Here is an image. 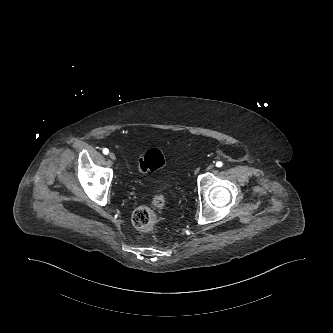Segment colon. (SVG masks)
I'll list each match as a JSON object with an SVG mask.
<instances>
[{
	"label": "colon",
	"instance_id": "1",
	"mask_svg": "<svg viewBox=\"0 0 333 333\" xmlns=\"http://www.w3.org/2000/svg\"><path fill=\"white\" fill-rule=\"evenodd\" d=\"M165 163L163 153L157 148L149 149L139 161L138 169L141 173L156 171ZM165 205L163 194H157L152 199V206L138 207L132 215L133 225L140 231L149 232L154 229L157 223L156 210L162 209Z\"/></svg>",
	"mask_w": 333,
	"mask_h": 333
}]
</instances>
